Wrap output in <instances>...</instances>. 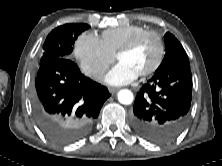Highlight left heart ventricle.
<instances>
[{
	"mask_svg": "<svg viewBox=\"0 0 222 166\" xmlns=\"http://www.w3.org/2000/svg\"><path fill=\"white\" fill-rule=\"evenodd\" d=\"M158 43L154 37L146 38L135 50L119 58L138 75L150 68L157 58Z\"/></svg>",
	"mask_w": 222,
	"mask_h": 166,
	"instance_id": "1",
	"label": "left heart ventricle"
}]
</instances>
